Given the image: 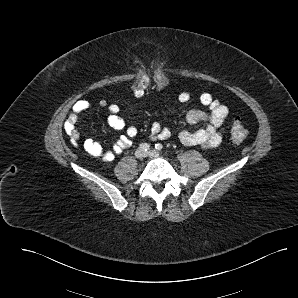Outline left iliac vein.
Segmentation results:
<instances>
[{
    "instance_id": "left-iliac-vein-1",
    "label": "left iliac vein",
    "mask_w": 298,
    "mask_h": 298,
    "mask_svg": "<svg viewBox=\"0 0 298 298\" xmlns=\"http://www.w3.org/2000/svg\"><path fill=\"white\" fill-rule=\"evenodd\" d=\"M146 155L150 157H159L160 153L156 150H150L149 152L146 153Z\"/></svg>"
}]
</instances>
